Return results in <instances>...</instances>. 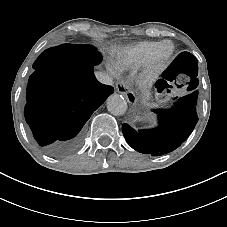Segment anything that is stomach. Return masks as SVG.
<instances>
[{"label": "stomach", "mask_w": 227, "mask_h": 227, "mask_svg": "<svg viewBox=\"0 0 227 227\" xmlns=\"http://www.w3.org/2000/svg\"><path fill=\"white\" fill-rule=\"evenodd\" d=\"M142 103H143L145 106H148V105H149V103H148V101H147V99H146L145 96L142 98Z\"/></svg>", "instance_id": "0dacf381"}]
</instances>
